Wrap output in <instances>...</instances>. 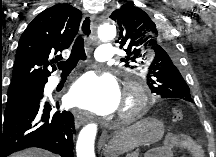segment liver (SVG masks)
I'll return each instance as SVG.
<instances>
[{
  "label": "liver",
  "mask_w": 216,
  "mask_h": 157,
  "mask_svg": "<svg viewBox=\"0 0 216 157\" xmlns=\"http://www.w3.org/2000/svg\"><path fill=\"white\" fill-rule=\"evenodd\" d=\"M11 157H55L54 154L39 148H29L14 153Z\"/></svg>",
  "instance_id": "1"
}]
</instances>
